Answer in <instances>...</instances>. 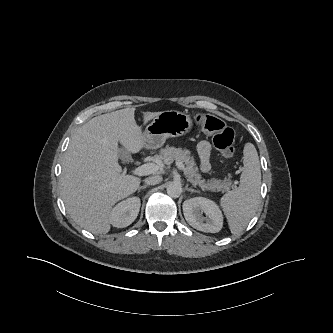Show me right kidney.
<instances>
[{"label": "right kidney", "mask_w": 333, "mask_h": 333, "mask_svg": "<svg viewBox=\"0 0 333 333\" xmlns=\"http://www.w3.org/2000/svg\"><path fill=\"white\" fill-rule=\"evenodd\" d=\"M140 205L138 197H130L118 203L111 211V224L117 228L129 226L137 218Z\"/></svg>", "instance_id": "1"}]
</instances>
